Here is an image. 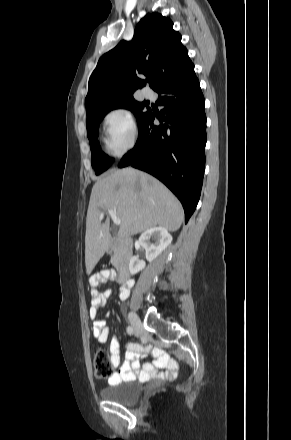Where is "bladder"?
I'll return each instance as SVG.
<instances>
[{"label":"bladder","instance_id":"31cf9c89","mask_svg":"<svg viewBox=\"0 0 291 440\" xmlns=\"http://www.w3.org/2000/svg\"><path fill=\"white\" fill-rule=\"evenodd\" d=\"M100 395L106 400L117 404L131 405L139 401L142 389L139 381L130 380L104 387L100 390Z\"/></svg>","mask_w":291,"mask_h":440}]
</instances>
